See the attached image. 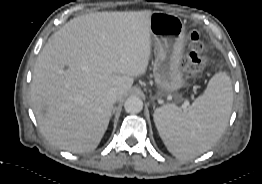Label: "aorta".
<instances>
[{"label":"aorta","mask_w":262,"mask_h":184,"mask_svg":"<svg viewBox=\"0 0 262 184\" xmlns=\"http://www.w3.org/2000/svg\"><path fill=\"white\" fill-rule=\"evenodd\" d=\"M124 109L128 113H138L143 109V101L137 96H130L124 103Z\"/></svg>","instance_id":"1"}]
</instances>
